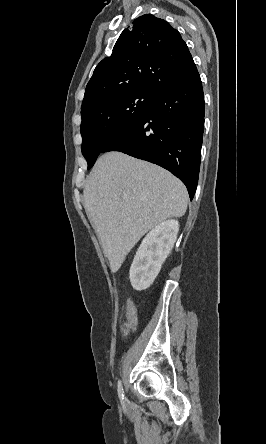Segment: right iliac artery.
Wrapping results in <instances>:
<instances>
[{"label":"right iliac artery","instance_id":"right-iliac-artery-1","mask_svg":"<svg viewBox=\"0 0 266 444\" xmlns=\"http://www.w3.org/2000/svg\"><path fill=\"white\" fill-rule=\"evenodd\" d=\"M118 396H119L121 402L123 403L125 398H124V391H123V385H122L121 380L118 381Z\"/></svg>","mask_w":266,"mask_h":444}]
</instances>
